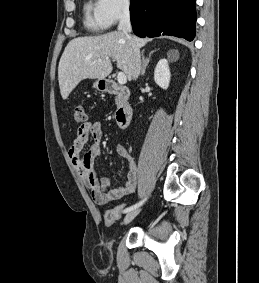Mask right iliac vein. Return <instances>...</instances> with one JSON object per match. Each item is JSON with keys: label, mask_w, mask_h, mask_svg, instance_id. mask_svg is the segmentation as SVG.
Masks as SVG:
<instances>
[{"label": "right iliac vein", "mask_w": 259, "mask_h": 283, "mask_svg": "<svg viewBox=\"0 0 259 283\" xmlns=\"http://www.w3.org/2000/svg\"><path fill=\"white\" fill-rule=\"evenodd\" d=\"M140 212V209H134L130 212H128L123 220V224L126 225L128 223H130Z\"/></svg>", "instance_id": "1"}]
</instances>
